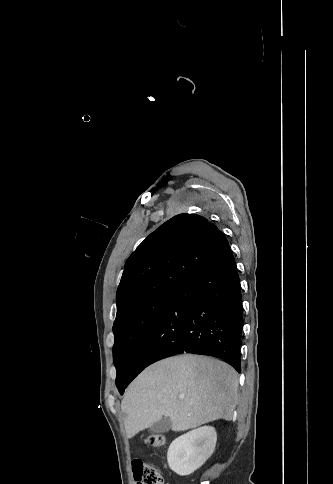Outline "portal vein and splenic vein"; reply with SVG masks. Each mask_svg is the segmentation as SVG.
I'll return each mask as SVG.
<instances>
[{"label": "portal vein and splenic vein", "instance_id": "1", "mask_svg": "<svg viewBox=\"0 0 333 484\" xmlns=\"http://www.w3.org/2000/svg\"><path fill=\"white\" fill-rule=\"evenodd\" d=\"M179 398H181V399H182V398H184V396H180Z\"/></svg>", "mask_w": 333, "mask_h": 484}]
</instances>
